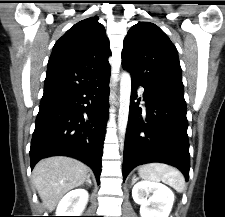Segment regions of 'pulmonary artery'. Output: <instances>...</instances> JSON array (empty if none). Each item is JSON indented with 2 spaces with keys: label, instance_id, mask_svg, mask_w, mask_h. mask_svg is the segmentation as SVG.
Returning <instances> with one entry per match:
<instances>
[{
  "label": "pulmonary artery",
  "instance_id": "e3ab8cb5",
  "mask_svg": "<svg viewBox=\"0 0 225 217\" xmlns=\"http://www.w3.org/2000/svg\"><path fill=\"white\" fill-rule=\"evenodd\" d=\"M143 92H144V90H143L142 88H139V93H140V95L143 96Z\"/></svg>",
  "mask_w": 225,
  "mask_h": 217
}]
</instances>
